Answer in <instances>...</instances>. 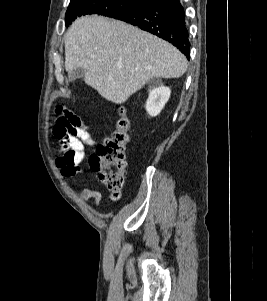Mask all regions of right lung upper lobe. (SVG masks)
<instances>
[{
  "instance_id": "obj_1",
  "label": "right lung upper lobe",
  "mask_w": 267,
  "mask_h": 301,
  "mask_svg": "<svg viewBox=\"0 0 267 301\" xmlns=\"http://www.w3.org/2000/svg\"><path fill=\"white\" fill-rule=\"evenodd\" d=\"M143 1H145L146 3H149V2H152L154 0H143Z\"/></svg>"
}]
</instances>
